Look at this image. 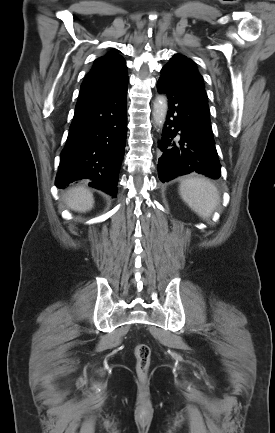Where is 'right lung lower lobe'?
<instances>
[{
	"mask_svg": "<svg viewBox=\"0 0 275 433\" xmlns=\"http://www.w3.org/2000/svg\"><path fill=\"white\" fill-rule=\"evenodd\" d=\"M127 86L77 101L56 186L88 179L89 185L115 197L127 135Z\"/></svg>",
	"mask_w": 275,
	"mask_h": 433,
	"instance_id": "obj_1",
	"label": "right lung lower lobe"
}]
</instances>
